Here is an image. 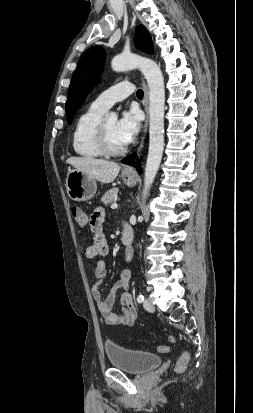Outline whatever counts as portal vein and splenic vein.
Instances as JSON below:
<instances>
[{
    "instance_id": "obj_1",
    "label": "portal vein and splenic vein",
    "mask_w": 253,
    "mask_h": 413,
    "mask_svg": "<svg viewBox=\"0 0 253 413\" xmlns=\"http://www.w3.org/2000/svg\"><path fill=\"white\" fill-rule=\"evenodd\" d=\"M118 207V204L117 203H113L112 205H111V208L112 209H116Z\"/></svg>"
}]
</instances>
